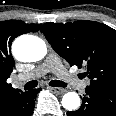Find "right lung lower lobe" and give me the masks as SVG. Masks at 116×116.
<instances>
[{
    "instance_id": "obj_1",
    "label": "right lung lower lobe",
    "mask_w": 116,
    "mask_h": 116,
    "mask_svg": "<svg viewBox=\"0 0 116 116\" xmlns=\"http://www.w3.org/2000/svg\"><path fill=\"white\" fill-rule=\"evenodd\" d=\"M40 90L41 88L17 93L0 112V116H31L34 111L36 95Z\"/></svg>"
}]
</instances>
